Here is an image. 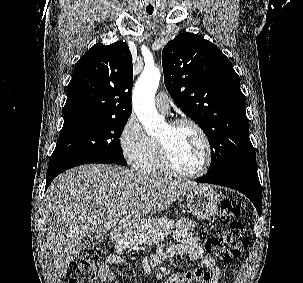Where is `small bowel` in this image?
I'll use <instances>...</instances> for the list:
<instances>
[{
    "mask_svg": "<svg viewBox=\"0 0 303 283\" xmlns=\"http://www.w3.org/2000/svg\"><path fill=\"white\" fill-rule=\"evenodd\" d=\"M194 227L195 224L192 220L188 218L181 219L176 226V241L160 247L153 259L147 262V265L159 263L179 255H188L203 270L204 276L200 279L202 283H218L220 268L211 256L204 253L200 237L192 232ZM122 262L123 260L116 255L108 256L98 269V280L100 283L112 282L115 279V275L110 269L112 266ZM232 273L233 276L237 275L235 269H232ZM175 277L168 278L165 283H174Z\"/></svg>",
    "mask_w": 303,
    "mask_h": 283,
    "instance_id": "1",
    "label": "small bowel"
}]
</instances>
